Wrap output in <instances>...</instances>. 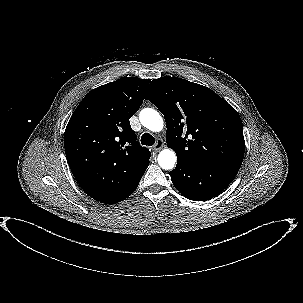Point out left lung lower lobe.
Wrapping results in <instances>:
<instances>
[{"mask_svg": "<svg viewBox=\"0 0 303 303\" xmlns=\"http://www.w3.org/2000/svg\"><path fill=\"white\" fill-rule=\"evenodd\" d=\"M239 168L227 164H189L182 160L169 175L176 189L187 199L206 201L232 182Z\"/></svg>", "mask_w": 303, "mask_h": 303, "instance_id": "left-lung-lower-lobe-1", "label": "left lung lower lobe"}]
</instances>
